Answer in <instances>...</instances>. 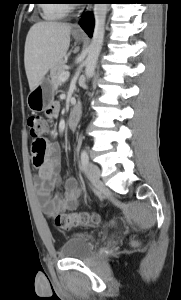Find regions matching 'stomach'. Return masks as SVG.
I'll use <instances>...</instances> for the list:
<instances>
[{"label":"stomach","mask_w":181,"mask_h":300,"mask_svg":"<svg viewBox=\"0 0 181 300\" xmlns=\"http://www.w3.org/2000/svg\"><path fill=\"white\" fill-rule=\"evenodd\" d=\"M81 40L80 37H75ZM54 87L49 77L44 78L40 84L27 97V104L30 110L40 112L47 109L54 100Z\"/></svg>","instance_id":"0dacf381"}]
</instances>
